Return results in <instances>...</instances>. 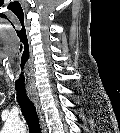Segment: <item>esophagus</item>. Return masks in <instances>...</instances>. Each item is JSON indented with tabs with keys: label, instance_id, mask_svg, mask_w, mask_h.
Here are the masks:
<instances>
[{
	"label": "esophagus",
	"instance_id": "obj_1",
	"mask_svg": "<svg viewBox=\"0 0 120 133\" xmlns=\"http://www.w3.org/2000/svg\"><path fill=\"white\" fill-rule=\"evenodd\" d=\"M29 95H30L32 101L34 102V104L36 106V109H37V111L39 113V117H40L41 127L43 129V133H46L45 125H44V119H43V116H42V113H41V109H40V105H39V101H38V98H37L36 91L35 90H30L29 91Z\"/></svg>",
	"mask_w": 120,
	"mask_h": 133
}]
</instances>
